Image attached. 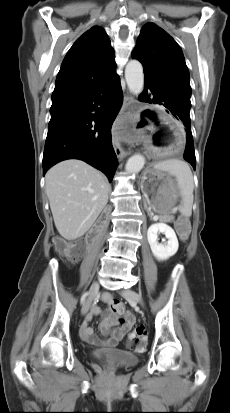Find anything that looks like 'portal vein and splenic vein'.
Returning <instances> with one entry per match:
<instances>
[{
  "mask_svg": "<svg viewBox=\"0 0 230 413\" xmlns=\"http://www.w3.org/2000/svg\"><path fill=\"white\" fill-rule=\"evenodd\" d=\"M176 211H177V209H173V210H172V212H176ZM156 219H157V218H156Z\"/></svg>",
  "mask_w": 230,
  "mask_h": 413,
  "instance_id": "portal-vein-and-splenic-vein-1",
  "label": "portal vein and splenic vein"
}]
</instances>
